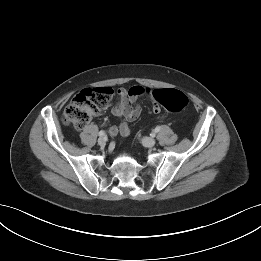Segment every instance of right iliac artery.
I'll list each match as a JSON object with an SVG mask.
<instances>
[{
	"mask_svg": "<svg viewBox=\"0 0 261 261\" xmlns=\"http://www.w3.org/2000/svg\"><path fill=\"white\" fill-rule=\"evenodd\" d=\"M98 135H99L100 137L105 136V131L101 130V131L98 133Z\"/></svg>",
	"mask_w": 261,
	"mask_h": 261,
	"instance_id": "82829eb1",
	"label": "right iliac artery"
}]
</instances>
